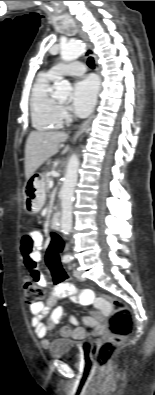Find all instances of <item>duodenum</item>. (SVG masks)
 Wrapping results in <instances>:
<instances>
[{
	"mask_svg": "<svg viewBox=\"0 0 155 395\" xmlns=\"http://www.w3.org/2000/svg\"><path fill=\"white\" fill-rule=\"evenodd\" d=\"M52 226L55 230L59 231L61 227V215L60 213H55L52 217Z\"/></svg>",
	"mask_w": 155,
	"mask_h": 395,
	"instance_id": "obj_1",
	"label": "duodenum"
}]
</instances>
